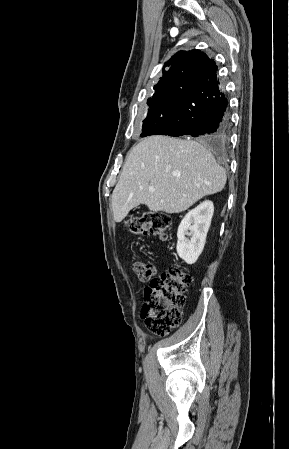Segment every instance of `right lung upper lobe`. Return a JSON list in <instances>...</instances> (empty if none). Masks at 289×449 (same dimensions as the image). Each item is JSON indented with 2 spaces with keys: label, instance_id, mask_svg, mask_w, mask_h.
I'll return each instance as SVG.
<instances>
[{
  "label": "right lung upper lobe",
  "instance_id": "right-lung-upper-lobe-1",
  "mask_svg": "<svg viewBox=\"0 0 289 449\" xmlns=\"http://www.w3.org/2000/svg\"><path fill=\"white\" fill-rule=\"evenodd\" d=\"M165 66L171 67L168 71L163 69V77L154 86V95L164 92L170 94L177 81L207 80L214 76L217 70L215 62L200 50L179 51Z\"/></svg>",
  "mask_w": 289,
  "mask_h": 449
}]
</instances>
